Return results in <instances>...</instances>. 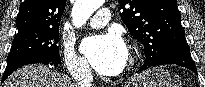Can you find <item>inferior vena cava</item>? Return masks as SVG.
<instances>
[{"label":"inferior vena cava","instance_id":"602c4592","mask_svg":"<svg viewBox=\"0 0 205 87\" xmlns=\"http://www.w3.org/2000/svg\"><path fill=\"white\" fill-rule=\"evenodd\" d=\"M73 76L79 87H92L93 76L88 66L84 65L77 68Z\"/></svg>","mask_w":205,"mask_h":87}]
</instances>
